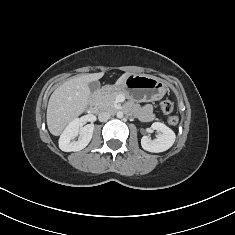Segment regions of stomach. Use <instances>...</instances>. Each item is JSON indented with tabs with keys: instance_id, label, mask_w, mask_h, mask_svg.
Wrapping results in <instances>:
<instances>
[{
	"instance_id": "0dacf381",
	"label": "stomach",
	"mask_w": 235,
	"mask_h": 235,
	"mask_svg": "<svg viewBox=\"0 0 235 235\" xmlns=\"http://www.w3.org/2000/svg\"><path fill=\"white\" fill-rule=\"evenodd\" d=\"M110 89L124 93L134 102H152L165 95L167 84L155 76L130 74L121 85H114Z\"/></svg>"
}]
</instances>
